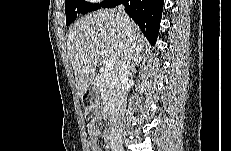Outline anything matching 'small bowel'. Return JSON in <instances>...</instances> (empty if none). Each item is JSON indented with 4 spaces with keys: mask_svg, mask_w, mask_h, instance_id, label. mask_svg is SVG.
I'll use <instances>...</instances> for the list:
<instances>
[{
    "mask_svg": "<svg viewBox=\"0 0 231 151\" xmlns=\"http://www.w3.org/2000/svg\"><path fill=\"white\" fill-rule=\"evenodd\" d=\"M98 117V114H93L87 123L90 151H103L102 148L99 146V137L101 135V132L96 126V121ZM104 137L107 138L106 133L104 134Z\"/></svg>",
    "mask_w": 231,
    "mask_h": 151,
    "instance_id": "small-bowel-1",
    "label": "small bowel"
}]
</instances>
